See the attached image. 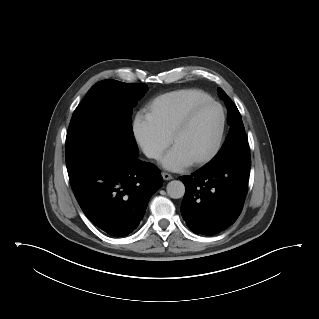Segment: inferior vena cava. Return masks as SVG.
<instances>
[{"label":"inferior vena cava","instance_id":"1","mask_svg":"<svg viewBox=\"0 0 319 319\" xmlns=\"http://www.w3.org/2000/svg\"><path fill=\"white\" fill-rule=\"evenodd\" d=\"M144 153L148 158H158L160 155L157 151L151 149H146Z\"/></svg>","mask_w":319,"mask_h":319}]
</instances>
